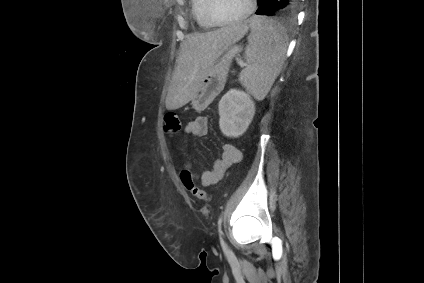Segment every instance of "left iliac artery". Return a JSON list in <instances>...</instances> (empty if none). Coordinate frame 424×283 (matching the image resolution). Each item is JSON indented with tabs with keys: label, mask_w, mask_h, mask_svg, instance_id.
<instances>
[{
	"label": "left iliac artery",
	"mask_w": 424,
	"mask_h": 283,
	"mask_svg": "<svg viewBox=\"0 0 424 283\" xmlns=\"http://www.w3.org/2000/svg\"><path fill=\"white\" fill-rule=\"evenodd\" d=\"M222 221H223V216L221 215L218 219V232H219V236L221 239V242L224 244V241L222 239L223 236V232H222Z\"/></svg>",
	"instance_id": "obj_1"
}]
</instances>
